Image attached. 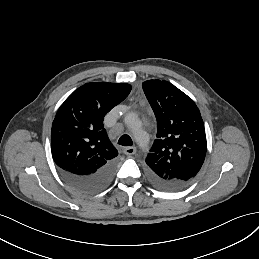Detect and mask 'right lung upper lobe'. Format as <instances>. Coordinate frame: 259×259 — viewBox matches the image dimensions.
Instances as JSON below:
<instances>
[{
	"mask_svg": "<svg viewBox=\"0 0 259 259\" xmlns=\"http://www.w3.org/2000/svg\"><path fill=\"white\" fill-rule=\"evenodd\" d=\"M130 91L126 83H86L65 100L51 129L52 157L60 169L86 175L118 155L103 120Z\"/></svg>",
	"mask_w": 259,
	"mask_h": 259,
	"instance_id": "obj_1",
	"label": "right lung upper lobe"
}]
</instances>
